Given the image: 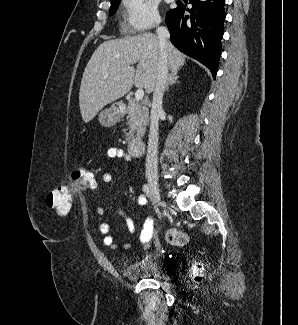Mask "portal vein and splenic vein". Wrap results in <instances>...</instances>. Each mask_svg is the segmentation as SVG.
<instances>
[{
	"mask_svg": "<svg viewBox=\"0 0 298 325\" xmlns=\"http://www.w3.org/2000/svg\"><path fill=\"white\" fill-rule=\"evenodd\" d=\"M143 96H144L143 88H138V90H136L135 92V100H142Z\"/></svg>",
	"mask_w": 298,
	"mask_h": 325,
	"instance_id": "obj_1",
	"label": "portal vein and splenic vein"
}]
</instances>
